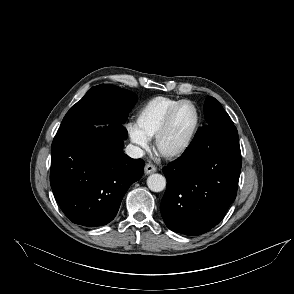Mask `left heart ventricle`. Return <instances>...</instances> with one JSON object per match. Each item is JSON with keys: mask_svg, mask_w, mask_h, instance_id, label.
I'll return each mask as SVG.
<instances>
[{"mask_svg": "<svg viewBox=\"0 0 294 294\" xmlns=\"http://www.w3.org/2000/svg\"><path fill=\"white\" fill-rule=\"evenodd\" d=\"M196 122V111L191 104H184L177 111L172 124L161 142L163 151H172L188 139Z\"/></svg>", "mask_w": 294, "mask_h": 294, "instance_id": "obj_1", "label": "left heart ventricle"}]
</instances>
